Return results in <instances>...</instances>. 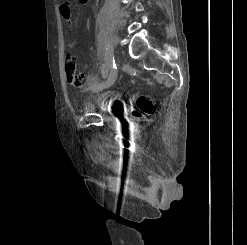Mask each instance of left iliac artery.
<instances>
[{
    "instance_id": "obj_1",
    "label": "left iliac artery",
    "mask_w": 247,
    "mask_h": 245,
    "mask_svg": "<svg viewBox=\"0 0 247 245\" xmlns=\"http://www.w3.org/2000/svg\"><path fill=\"white\" fill-rule=\"evenodd\" d=\"M107 41L109 42V45H106L105 50V61L107 63V68L111 70L110 72V80L113 77V72L117 69L114 59V40L112 37H108ZM106 77V76H105Z\"/></svg>"
}]
</instances>
